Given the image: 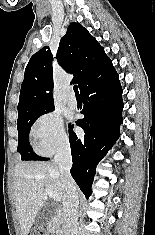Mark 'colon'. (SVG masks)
Segmentation results:
<instances>
[{"instance_id":"5ec220e1","label":"colon","mask_w":155,"mask_h":235,"mask_svg":"<svg viewBox=\"0 0 155 235\" xmlns=\"http://www.w3.org/2000/svg\"><path fill=\"white\" fill-rule=\"evenodd\" d=\"M29 235H47V234L43 231H33Z\"/></svg>"}]
</instances>
